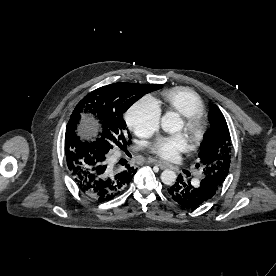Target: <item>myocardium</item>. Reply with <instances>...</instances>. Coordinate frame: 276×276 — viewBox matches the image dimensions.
Instances as JSON below:
<instances>
[{"label":"myocardium","mask_w":276,"mask_h":276,"mask_svg":"<svg viewBox=\"0 0 276 276\" xmlns=\"http://www.w3.org/2000/svg\"><path fill=\"white\" fill-rule=\"evenodd\" d=\"M183 123L192 147L197 146L205 133V121L202 114L183 116Z\"/></svg>","instance_id":"f54148a6"}]
</instances>
